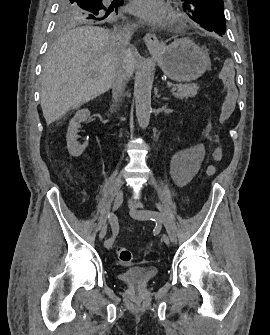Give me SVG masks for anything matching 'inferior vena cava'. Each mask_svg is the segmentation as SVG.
I'll list each match as a JSON object with an SVG mask.
<instances>
[{"label":"inferior vena cava","instance_id":"602c4592","mask_svg":"<svg viewBox=\"0 0 270 335\" xmlns=\"http://www.w3.org/2000/svg\"><path fill=\"white\" fill-rule=\"evenodd\" d=\"M134 28L135 26H126V28H122V30L114 28L113 38H115V40H117L118 44H121V46H129V42L134 34ZM128 78H130V76H128L126 70H115L111 78L113 88V102H119L121 96H123Z\"/></svg>","mask_w":270,"mask_h":335}]
</instances>
